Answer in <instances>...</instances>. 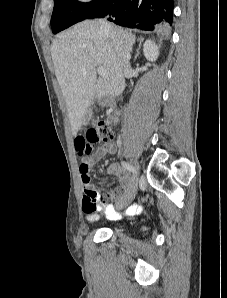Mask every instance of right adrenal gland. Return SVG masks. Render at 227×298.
Returning <instances> with one entry per match:
<instances>
[{
  "label": "right adrenal gland",
  "mask_w": 227,
  "mask_h": 298,
  "mask_svg": "<svg viewBox=\"0 0 227 298\" xmlns=\"http://www.w3.org/2000/svg\"><path fill=\"white\" fill-rule=\"evenodd\" d=\"M138 41H139V47H138V49L136 50L135 60L137 59V57H138V55H139V50H140V48H141V45H142V42L144 41V39L141 38V39H138Z\"/></svg>",
  "instance_id": "obj_1"
}]
</instances>
